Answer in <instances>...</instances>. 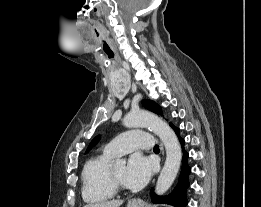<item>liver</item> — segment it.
I'll return each instance as SVG.
<instances>
[{"instance_id": "1", "label": "liver", "mask_w": 261, "mask_h": 207, "mask_svg": "<svg viewBox=\"0 0 261 207\" xmlns=\"http://www.w3.org/2000/svg\"><path fill=\"white\" fill-rule=\"evenodd\" d=\"M123 203V200H111L95 204H87L84 207H119Z\"/></svg>"}]
</instances>
